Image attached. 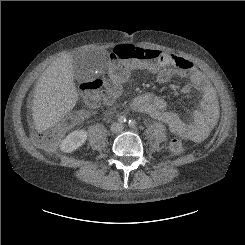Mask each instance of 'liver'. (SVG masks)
I'll return each mask as SVG.
<instances>
[{
    "instance_id": "liver-1",
    "label": "liver",
    "mask_w": 245,
    "mask_h": 245,
    "mask_svg": "<svg viewBox=\"0 0 245 245\" xmlns=\"http://www.w3.org/2000/svg\"><path fill=\"white\" fill-rule=\"evenodd\" d=\"M72 56L53 61L37 81L32 106L35 129L43 132L64 118L77 100Z\"/></svg>"
}]
</instances>
